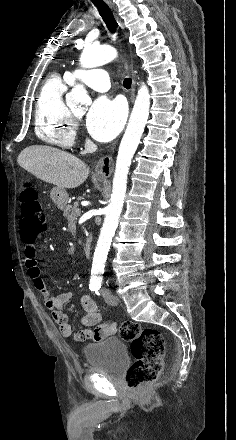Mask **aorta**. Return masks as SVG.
<instances>
[{
	"instance_id": "aorta-1",
	"label": "aorta",
	"mask_w": 236,
	"mask_h": 440,
	"mask_svg": "<svg viewBox=\"0 0 236 440\" xmlns=\"http://www.w3.org/2000/svg\"><path fill=\"white\" fill-rule=\"evenodd\" d=\"M117 56V50L110 45L86 46L82 51L80 64L84 68H93L109 63L116 59ZM89 102L88 93L85 87L80 84L76 85L66 97V104L69 107H75L79 104L87 105ZM149 109L150 94L148 87L143 83L138 90L126 131L119 146L113 177L111 202L105 210L104 223L93 257L92 281L102 279L107 254L124 204L129 167L144 132Z\"/></svg>"
}]
</instances>
